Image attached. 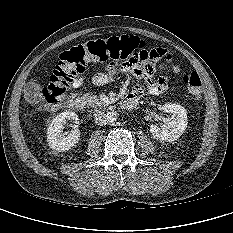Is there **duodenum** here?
Listing matches in <instances>:
<instances>
[{"instance_id":"duodenum-1","label":"duodenum","mask_w":233,"mask_h":233,"mask_svg":"<svg viewBox=\"0 0 233 233\" xmlns=\"http://www.w3.org/2000/svg\"><path fill=\"white\" fill-rule=\"evenodd\" d=\"M138 100L139 98L137 96L129 94L122 101V106L125 109H132L137 105ZM67 104L70 108L76 111H80L84 108L83 101L80 98H76V97H70L67 100Z\"/></svg>"}]
</instances>
